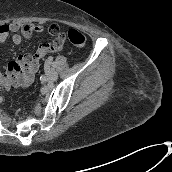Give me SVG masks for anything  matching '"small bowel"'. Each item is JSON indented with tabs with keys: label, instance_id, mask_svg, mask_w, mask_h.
Here are the masks:
<instances>
[{
	"label": "small bowel",
	"instance_id": "c3829d8e",
	"mask_svg": "<svg viewBox=\"0 0 172 172\" xmlns=\"http://www.w3.org/2000/svg\"><path fill=\"white\" fill-rule=\"evenodd\" d=\"M54 27L59 29L57 25L51 24L47 27H38L35 25H22L19 23H12L9 25H0V44L7 42L11 35V40L14 44L19 45L23 42V37H29L35 31H43L45 28ZM25 27L31 28L30 34L25 36L23 29ZM46 31V30H45ZM64 42L61 38H56L50 43H43L38 46L34 54H26L20 56L17 61L11 62L10 70L18 74L17 83L20 86L28 85L34 76V73L39 67L41 59L48 53H55L63 49ZM2 76L0 74V80Z\"/></svg>",
	"mask_w": 172,
	"mask_h": 172
}]
</instances>
